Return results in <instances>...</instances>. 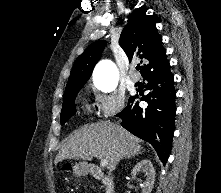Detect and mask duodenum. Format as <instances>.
Masks as SVG:
<instances>
[{
	"label": "duodenum",
	"instance_id": "410a0bca",
	"mask_svg": "<svg viewBox=\"0 0 221 193\" xmlns=\"http://www.w3.org/2000/svg\"><path fill=\"white\" fill-rule=\"evenodd\" d=\"M87 169L94 178L103 182L106 193H113L114 184L110 177L106 176L101 170H99L95 166H87Z\"/></svg>",
	"mask_w": 221,
	"mask_h": 193
}]
</instances>
